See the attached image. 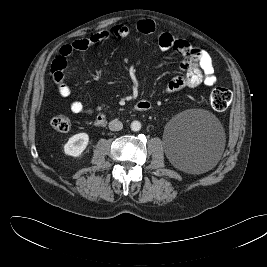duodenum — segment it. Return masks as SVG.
<instances>
[{
	"instance_id": "duodenum-1",
	"label": "duodenum",
	"mask_w": 267,
	"mask_h": 267,
	"mask_svg": "<svg viewBox=\"0 0 267 267\" xmlns=\"http://www.w3.org/2000/svg\"><path fill=\"white\" fill-rule=\"evenodd\" d=\"M151 108V104L148 101L141 100L135 104L134 109L138 112L147 111ZM108 123V117L105 113H100L96 116L95 124L97 126H105Z\"/></svg>"
}]
</instances>
